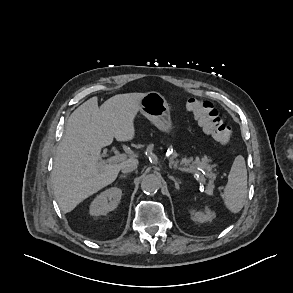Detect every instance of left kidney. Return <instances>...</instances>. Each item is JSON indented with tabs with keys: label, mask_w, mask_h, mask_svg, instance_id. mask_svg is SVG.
<instances>
[{
	"label": "left kidney",
	"mask_w": 293,
	"mask_h": 293,
	"mask_svg": "<svg viewBox=\"0 0 293 293\" xmlns=\"http://www.w3.org/2000/svg\"><path fill=\"white\" fill-rule=\"evenodd\" d=\"M191 218L194 221L197 222H206V221H211L215 218V212L211 211L208 207L205 208L204 212L203 211H196V210H190L189 211Z\"/></svg>",
	"instance_id": "obj_1"
}]
</instances>
